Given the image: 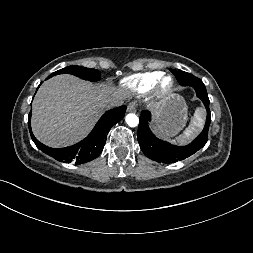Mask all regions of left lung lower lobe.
I'll list each match as a JSON object with an SVG mask.
<instances>
[{
	"label": "left lung lower lobe",
	"mask_w": 253,
	"mask_h": 253,
	"mask_svg": "<svg viewBox=\"0 0 253 253\" xmlns=\"http://www.w3.org/2000/svg\"><path fill=\"white\" fill-rule=\"evenodd\" d=\"M183 86H192L196 90L197 96L203 101L207 110V119L202 133L189 145L177 147L168 142L159 140L150 130L148 122L151 120V113L147 110L142 111L138 126V142L143 153L150 159L159 163H174L183 160L200 148L208 140V128L211 122L209 110V98L203 82L192 76L188 80L180 82Z\"/></svg>",
	"instance_id": "obj_1"
}]
</instances>
